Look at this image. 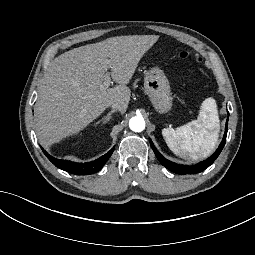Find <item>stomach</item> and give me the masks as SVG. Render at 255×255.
I'll return each mask as SVG.
<instances>
[{"instance_id": "stomach-1", "label": "stomach", "mask_w": 255, "mask_h": 255, "mask_svg": "<svg viewBox=\"0 0 255 255\" xmlns=\"http://www.w3.org/2000/svg\"><path fill=\"white\" fill-rule=\"evenodd\" d=\"M144 90L156 112L168 114L173 107L169 81L163 71L154 69L146 73Z\"/></svg>"}]
</instances>
